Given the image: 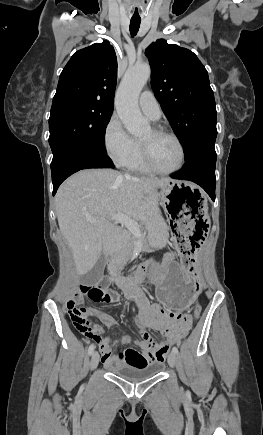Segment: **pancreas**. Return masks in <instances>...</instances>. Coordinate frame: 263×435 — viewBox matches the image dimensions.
<instances>
[{"label": "pancreas", "mask_w": 263, "mask_h": 435, "mask_svg": "<svg viewBox=\"0 0 263 435\" xmlns=\"http://www.w3.org/2000/svg\"><path fill=\"white\" fill-rule=\"evenodd\" d=\"M141 234V237L136 235L130 236L125 247L115 254L111 265L112 270L121 269L132 257L135 246L138 244V242L144 241L145 239L146 232L141 230Z\"/></svg>", "instance_id": "pancreas-1"}]
</instances>
